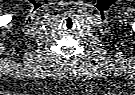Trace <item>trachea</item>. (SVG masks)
<instances>
[{"label":"trachea","mask_w":135,"mask_h":95,"mask_svg":"<svg viewBox=\"0 0 135 95\" xmlns=\"http://www.w3.org/2000/svg\"><path fill=\"white\" fill-rule=\"evenodd\" d=\"M66 27L68 29H71L73 27V21L70 17H68V19L66 20Z\"/></svg>","instance_id":"trachea-1"}]
</instances>
